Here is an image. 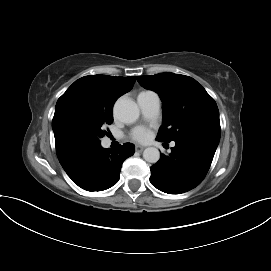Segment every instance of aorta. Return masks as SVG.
Here are the masks:
<instances>
[{
  "instance_id": "1",
  "label": "aorta",
  "mask_w": 271,
  "mask_h": 271,
  "mask_svg": "<svg viewBox=\"0 0 271 271\" xmlns=\"http://www.w3.org/2000/svg\"><path fill=\"white\" fill-rule=\"evenodd\" d=\"M139 113L137 104L128 98H120L114 105L116 118L126 124L135 122ZM143 158L149 163H156L160 159V152L155 147H148L143 152Z\"/></svg>"
}]
</instances>
